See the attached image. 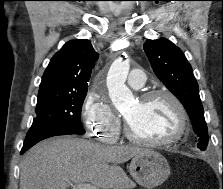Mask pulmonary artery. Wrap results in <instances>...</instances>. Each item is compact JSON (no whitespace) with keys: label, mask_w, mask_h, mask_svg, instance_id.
<instances>
[{"label":"pulmonary artery","mask_w":223,"mask_h":189,"mask_svg":"<svg viewBox=\"0 0 223 189\" xmlns=\"http://www.w3.org/2000/svg\"><path fill=\"white\" fill-rule=\"evenodd\" d=\"M146 76L143 70L133 69L127 79V84L135 89H139L144 86Z\"/></svg>","instance_id":"e3ab8cb5"}]
</instances>
